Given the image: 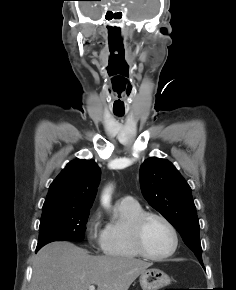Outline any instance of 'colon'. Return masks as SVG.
Here are the masks:
<instances>
[{"mask_svg": "<svg viewBox=\"0 0 236 290\" xmlns=\"http://www.w3.org/2000/svg\"><path fill=\"white\" fill-rule=\"evenodd\" d=\"M164 290H177V289H170V288H166V289H164Z\"/></svg>", "mask_w": 236, "mask_h": 290, "instance_id": "5ec220e1", "label": "colon"}]
</instances>
